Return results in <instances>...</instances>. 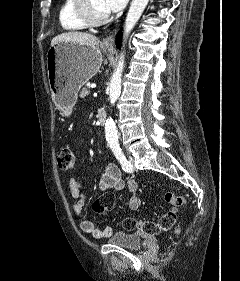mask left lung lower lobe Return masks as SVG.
<instances>
[{"label": "left lung lower lobe", "instance_id": "left-lung-lower-lobe-1", "mask_svg": "<svg viewBox=\"0 0 240 281\" xmlns=\"http://www.w3.org/2000/svg\"><path fill=\"white\" fill-rule=\"evenodd\" d=\"M121 38H122V32L119 31L118 34H117V36H116V44H118V45H117V48H120Z\"/></svg>", "mask_w": 240, "mask_h": 281}]
</instances>
